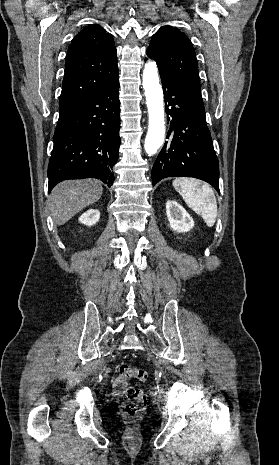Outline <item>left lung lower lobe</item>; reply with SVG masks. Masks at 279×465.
<instances>
[{"label": "left lung lower lobe", "instance_id": "left-lung-lower-lobe-1", "mask_svg": "<svg viewBox=\"0 0 279 465\" xmlns=\"http://www.w3.org/2000/svg\"><path fill=\"white\" fill-rule=\"evenodd\" d=\"M166 112L172 117L165 142L152 168V184L166 177L204 180L219 192V163L205 122L204 104L174 81L160 75ZM171 108H168V107Z\"/></svg>", "mask_w": 279, "mask_h": 465}]
</instances>
